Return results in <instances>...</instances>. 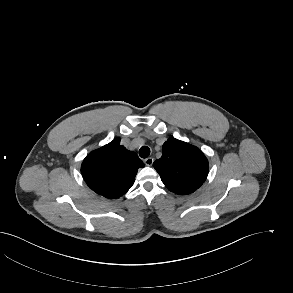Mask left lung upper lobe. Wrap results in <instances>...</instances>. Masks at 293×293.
<instances>
[{"label": "left lung upper lobe", "instance_id": "5c2ea615", "mask_svg": "<svg viewBox=\"0 0 293 293\" xmlns=\"http://www.w3.org/2000/svg\"><path fill=\"white\" fill-rule=\"evenodd\" d=\"M166 187L180 195L196 191L206 180L209 165L200 149L169 138L162 147V157L153 163Z\"/></svg>", "mask_w": 293, "mask_h": 293}]
</instances>
